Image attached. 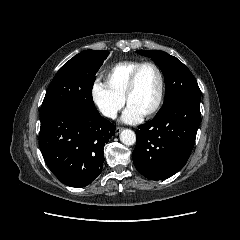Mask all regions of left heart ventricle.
Segmentation results:
<instances>
[{
    "mask_svg": "<svg viewBox=\"0 0 240 240\" xmlns=\"http://www.w3.org/2000/svg\"><path fill=\"white\" fill-rule=\"evenodd\" d=\"M159 91V77L154 68L144 67L137 78L136 88L129 97L128 104L142 114L155 103Z\"/></svg>",
    "mask_w": 240,
    "mask_h": 240,
    "instance_id": "b2bd125f",
    "label": "left heart ventricle"
}]
</instances>
